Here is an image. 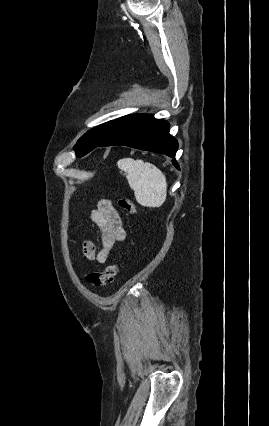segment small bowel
<instances>
[{
    "mask_svg": "<svg viewBox=\"0 0 269 426\" xmlns=\"http://www.w3.org/2000/svg\"><path fill=\"white\" fill-rule=\"evenodd\" d=\"M91 219L100 232V248L96 251L91 241H85L83 255L89 261L105 263L116 246L126 237L122 218L110 200L101 199L91 211Z\"/></svg>",
    "mask_w": 269,
    "mask_h": 426,
    "instance_id": "obj_1",
    "label": "small bowel"
}]
</instances>
